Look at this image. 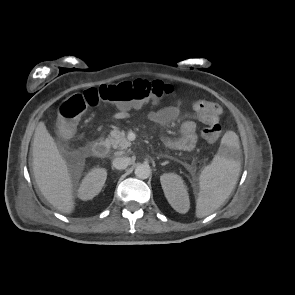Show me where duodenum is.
Listing matches in <instances>:
<instances>
[{"mask_svg":"<svg viewBox=\"0 0 295 295\" xmlns=\"http://www.w3.org/2000/svg\"><path fill=\"white\" fill-rule=\"evenodd\" d=\"M90 150L95 156L103 157L108 153L109 147L107 142L105 141H97L90 145L89 147H85V151Z\"/></svg>","mask_w":295,"mask_h":295,"instance_id":"obj_1","label":"duodenum"}]
</instances>
